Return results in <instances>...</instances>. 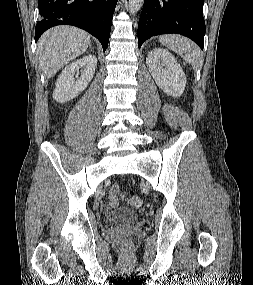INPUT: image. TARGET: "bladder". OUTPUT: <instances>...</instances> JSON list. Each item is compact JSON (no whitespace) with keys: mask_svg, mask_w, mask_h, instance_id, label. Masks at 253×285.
Returning <instances> with one entry per match:
<instances>
[{"mask_svg":"<svg viewBox=\"0 0 253 285\" xmlns=\"http://www.w3.org/2000/svg\"><path fill=\"white\" fill-rule=\"evenodd\" d=\"M139 215L129 208H117L110 215L109 220L114 224H131L138 220Z\"/></svg>","mask_w":253,"mask_h":285,"instance_id":"obj_1","label":"bladder"}]
</instances>
